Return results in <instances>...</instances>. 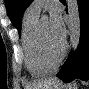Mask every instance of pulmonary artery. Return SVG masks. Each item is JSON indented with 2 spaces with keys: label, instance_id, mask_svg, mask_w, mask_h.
Here are the masks:
<instances>
[{
  "label": "pulmonary artery",
  "instance_id": "pulmonary-artery-1",
  "mask_svg": "<svg viewBox=\"0 0 89 89\" xmlns=\"http://www.w3.org/2000/svg\"><path fill=\"white\" fill-rule=\"evenodd\" d=\"M50 2L51 1L49 0H36L28 7L26 12L35 16H39L41 8Z\"/></svg>",
  "mask_w": 89,
  "mask_h": 89
}]
</instances>
